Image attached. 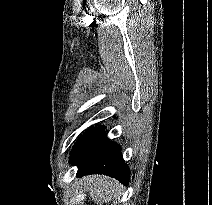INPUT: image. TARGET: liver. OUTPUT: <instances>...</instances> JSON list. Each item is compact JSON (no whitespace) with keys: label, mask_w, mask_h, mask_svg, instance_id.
<instances>
[{"label":"liver","mask_w":212,"mask_h":205,"mask_svg":"<svg viewBox=\"0 0 212 205\" xmlns=\"http://www.w3.org/2000/svg\"><path fill=\"white\" fill-rule=\"evenodd\" d=\"M84 188L89 192V196L97 205L101 203H109L119 196L121 184L106 176H87L83 178Z\"/></svg>","instance_id":"6515ba94"}]
</instances>
